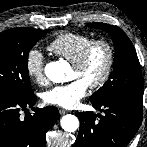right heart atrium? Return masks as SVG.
Here are the masks:
<instances>
[{
    "label": "right heart atrium",
    "instance_id": "obj_1",
    "mask_svg": "<svg viewBox=\"0 0 147 147\" xmlns=\"http://www.w3.org/2000/svg\"><path fill=\"white\" fill-rule=\"evenodd\" d=\"M25 70L31 80L39 85L46 82L43 54L36 48L30 49L25 57Z\"/></svg>",
    "mask_w": 147,
    "mask_h": 147
}]
</instances>
